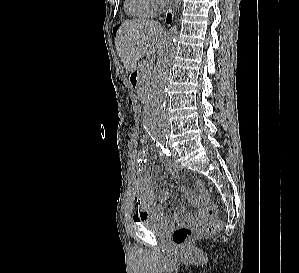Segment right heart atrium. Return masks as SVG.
I'll return each mask as SVG.
<instances>
[{"mask_svg":"<svg viewBox=\"0 0 299 273\" xmlns=\"http://www.w3.org/2000/svg\"><path fill=\"white\" fill-rule=\"evenodd\" d=\"M147 8L154 12L156 11L161 4L163 3L164 0H143Z\"/></svg>","mask_w":299,"mask_h":273,"instance_id":"d8ad5b80","label":"right heart atrium"}]
</instances>
